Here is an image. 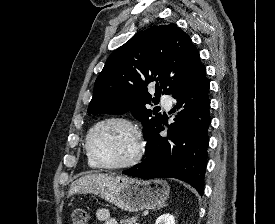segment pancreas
<instances>
[{"instance_id": "1", "label": "pancreas", "mask_w": 275, "mask_h": 224, "mask_svg": "<svg viewBox=\"0 0 275 224\" xmlns=\"http://www.w3.org/2000/svg\"><path fill=\"white\" fill-rule=\"evenodd\" d=\"M137 219H138L137 216L130 217V218L124 217L123 219L120 220V224H136Z\"/></svg>"}]
</instances>
